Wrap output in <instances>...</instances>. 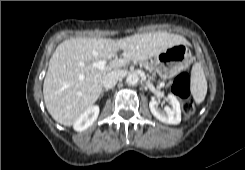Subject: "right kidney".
Wrapping results in <instances>:
<instances>
[{"label": "right kidney", "instance_id": "1", "mask_svg": "<svg viewBox=\"0 0 245 170\" xmlns=\"http://www.w3.org/2000/svg\"><path fill=\"white\" fill-rule=\"evenodd\" d=\"M99 115V107L91 106L74 122L73 128L75 131L81 132L93 125Z\"/></svg>", "mask_w": 245, "mask_h": 170}]
</instances>
